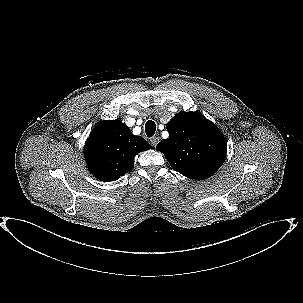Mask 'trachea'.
<instances>
[{
	"instance_id": "obj_1",
	"label": "trachea",
	"mask_w": 303,
	"mask_h": 303,
	"mask_svg": "<svg viewBox=\"0 0 303 303\" xmlns=\"http://www.w3.org/2000/svg\"><path fill=\"white\" fill-rule=\"evenodd\" d=\"M145 131L147 137H152L155 134L156 131V124L152 120H148L145 124Z\"/></svg>"
}]
</instances>
